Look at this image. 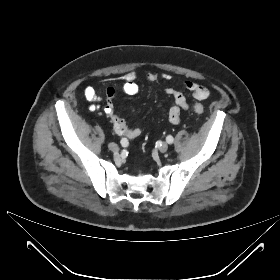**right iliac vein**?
Masks as SVG:
<instances>
[{"label": "right iliac vein", "instance_id": "right-iliac-vein-1", "mask_svg": "<svg viewBox=\"0 0 280 280\" xmlns=\"http://www.w3.org/2000/svg\"><path fill=\"white\" fill-rule=\"evenodd\" d=\"M108 148H109L111 151H113V152L118 151V149H119L118 145L115 144V143H110V144L108 145Z\"/></svg>", "mask_w": 280, "mask_h": 280}]
</instances>
